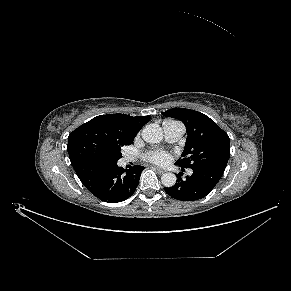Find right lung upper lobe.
<instances>
[{
	"label": "right lung upper lobe",
	"mask_w": 291,
	"mask_h": 291,
	"mask_svg": "<svg viewBox=\"0 0 291 291\" xmlns=\"http://www.w3.org/2000/svg\"><path fill=\"white\" fill-rule=\"evenodd\" d=\"M150 116L126 114L97 116L69 134L67 150L71 164L91 158L96 150L113 149L133 142Z\"/></svg>",
	"instance_id": "1"
}]
</instances>
